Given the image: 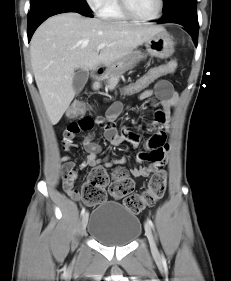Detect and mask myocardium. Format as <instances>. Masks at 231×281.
Wrapping results in <instances>:
<instances>
[{"label": "myocardium", "instance_id": "myocardium-1", "mask_svg": "<svg viewBox=\"0 0 231 281\" xmlns=\"http://www.w3.org/2000/svg\"><path fill=\"white\" fill-rule=\"evenodd\" d=\"M118 2H119L121 11L127 18H129L133 21H136V22H140V23H150V22H154V21L158 20L161 17V15L163 13V9H164V0H158L159 7H158L156 14L150 18H142V17L137 16L132 11L128 0H118Z\"/></svg>", "mask_w": 231, "mask_h": 281}]
</instances>
